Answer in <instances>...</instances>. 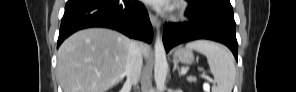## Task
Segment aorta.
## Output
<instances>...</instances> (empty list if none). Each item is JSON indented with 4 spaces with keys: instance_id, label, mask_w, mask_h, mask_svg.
I'll use <instances>...</instances> for the list:
<instances>
[{
    "instance_id": "aorta-1",
    "label": "aorta",
    "mask_w": 296,
    "mask_h": 92,
    "mask_svg": "<svg viewBox=\"0 0 296 92\" xmlns=\"http://www.w3.org/2000/svg\"><path fill=\"white\" fill-rule=\"evenodd\" d=\"M167 72H168V63L166 59V52H165L162 39L158 35L155 41L154 78H155L156 88L159 92H162L165 88Z\"/></svg>"
}]
</instances>
